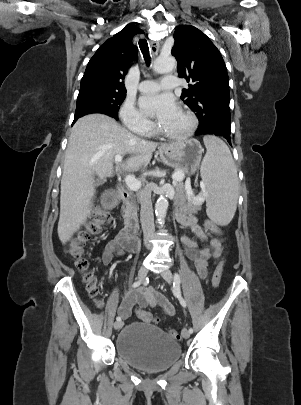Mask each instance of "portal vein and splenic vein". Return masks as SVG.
<instances>
[{
  "mask_svg": "<svg viewBox=\"0 0 301 405\" xmlns=\"http://www.w3.org/2000/svg\"><path fill=\"white\" fill-rule=\"evenodd\" d=\"M114 160L116 163H120L122 161V156L121 155H115ZM173 182L176 183L177 181H182L184 179V173L178 171L175 172L172 175ZM125 183L128 186V188L132 191H137L141 188L142 184L140 181H138L135 177L131 175H127L125 177ZM187 194L193 198L194 201L196 202H204L207 192L205 189L202 190V194L199 196H194L193 192L191 189L187 190Z\"/></svg>",
  "mask_w": 301,
  "mask_h": 405,
  "instance_id": "portal-vein-and-splenic-vein-1",
  "label": "portal vein and splenic vein"
}]
</instances>
